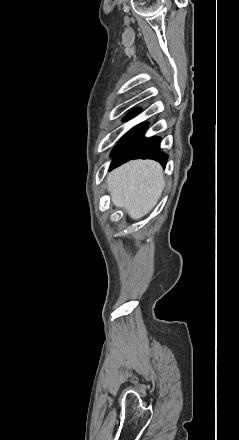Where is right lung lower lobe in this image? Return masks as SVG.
I'll return each mask as SVG.
<instances>
[{
	"label": "right lung lower lobe",
	"instance_id": "obj_1",
	"mask_svg": "<svg viewBox=\"0 0 239 440\" xmlns=\"http://www.w3.org/2000/svg\"><path fill=\"white\" fill-rule=\"evenodd\" d=\"M137 112L138 110L129 113L125 120L131 118ZM147 127V122L139 124L123 136L112 151L111 155L114 156V160L110 169L136 158L155 159L165 166L168 156L159 149L160 138L146 139L142 136Z\"/></svg>",
	"mask_w": 239,
	"mask_h": 440
}]
</instances>
